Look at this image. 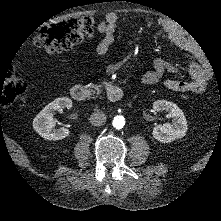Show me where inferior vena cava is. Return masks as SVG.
<instances>
[{"mask_svg":"<svg viewBox=\"0 0 221 221\" xmlns=\"http://www.w3.org/2000/svg\"><path fill=\"white\" fill-rule=\"evenodd\" d=\"M89 120L93 126L99 127L106 123V115L103 112L97 111L90 115Z\"/></svg>","mask_w":221,"mask_h":221,"instance_id":"inferior-vena-cava-1","label":"inferior vena cava"}]
</instances>
